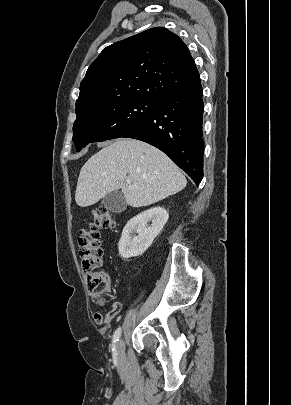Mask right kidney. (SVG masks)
Masks as SVG:
<instances>
[{
  "label": "right kidney",
  "instance_id": "obj_1",
  "mask_svg": "<svg viewBox=\"0 0 291 405\" xmlns=\"http://www.w3.org/2000/svg\"><path fill=\"white\" fill-rule=\"evenodd\" d=\"M169 214L162 207H153L128 221L118 244L119 254L124 259L142 255L161 232ZM151 221V226L147 223ZM138 235H135V234Z\"/></svg>",
  "mask_w": 291,
  "mask_h": 405
}]
</instances>
